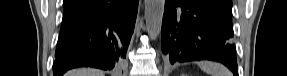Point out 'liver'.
Masks as SVG:
<instances>
[{
    "instance_id": "1",
    "label": "liver",
    "mask_w": 287,
    "mask_h": 76,
    "mask_svg": "<svg viewBox=\"0 0 287 76\" xmlns=\"http://www.w3.org/2000/svg\"><path fill=\"white\" fill-rule=\"evenodd\" d=\"M104 72L98 69L81 68L68 73V76H104Z\"/></svg>"
}]
</instances>
